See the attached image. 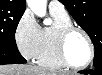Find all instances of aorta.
I'll list each match as a JSON object with an SVG mask.
<instances>
[{"label":"aorta","mask_w":102,"mask_h":75,"mask_svg":"<svg viewBox=\"0 0 102 75\" xmlns=\"http://www.w3.org/2000/svg\"><path fill=\"white\" fill-rule=\"evenodd\" d=\"M29 8L39 17H44L46 14L47 0H27ZM51 19H46L44 24H51Z\"/></svg>","instance_id":"aorta-1"}]
</instances>
